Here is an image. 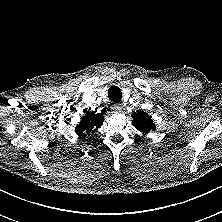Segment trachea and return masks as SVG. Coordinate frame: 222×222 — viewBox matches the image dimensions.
<instances>
[{"label": "trachea", "instance_id": "obj_1", "mask_svg": "<svg viewBox=\"0 0 222 222\" xmlns=\"http://www.w3.org/2000/svg\"><path fill=\"white\" fill-rule=\"evenodd\" d=\"M108 98L113 102H119L122 98V92L119 87L112 86L108 91Z\"/></svg>", "mask_w": 222, "mask_h": 222}]
</instances>
